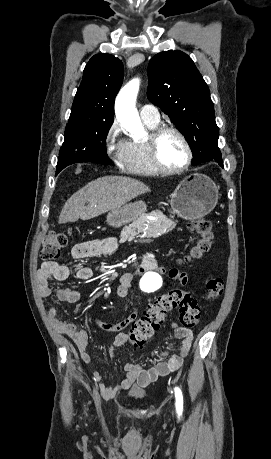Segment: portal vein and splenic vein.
Segmentation results:
<instances>
[{"instance_id": "portal-vein-and-splenic-vein-1", "label": "portal vein and splenic vein", "mask_w": 271, "mask_h": 459, "mask_svg": "<svg viewBox=\"0 0 271 459\" xmlns=\"http://www.w3.org/2000/svg\"><path fill=\"white\" fill-rule=\"evenodd\" d=\"M139 227L144 229V228H148L149 226L148 225H145V226L140 225Z\"/></svg>"}]
</instances>
